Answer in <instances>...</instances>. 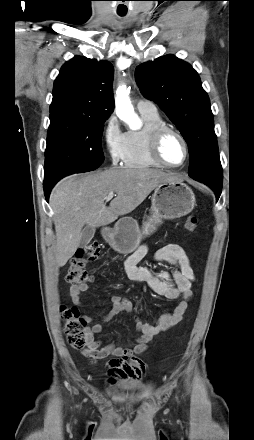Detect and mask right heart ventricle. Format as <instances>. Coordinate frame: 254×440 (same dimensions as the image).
<instances>
[{
    "instance_id": "obj_1",
    "label": "right heart ventricle",
    "mask_w": 254,
    "mask_h": 440,
    "mask_svg": "<svg viewBox=\"0 0 254 440\" xmlns=\"http://www.w3.org/2000/svg\"><path fill=\"white\" fill-rule=\"evenodd\" d=\"M144 125L139 130L127 132L126 147L123 163L131 168H162L156 163L149 152L150 135L154 129L166 125L161 116L156 113H141Z\"/></svg>"
}]
</instances>
